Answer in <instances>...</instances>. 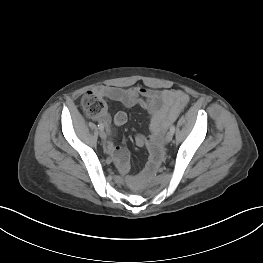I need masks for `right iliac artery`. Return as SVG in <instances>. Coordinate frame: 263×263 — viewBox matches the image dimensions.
I'll return each instance as SVG.
<instances>
[{
  "mask_svg": "<svg viewBox=\"0 0 263 263\" xmlns=\"http://www.w3.org/2000/svg\"><path fill=\"white\" fill-rule=\"evenodd\" d=\"M98 128H99L100 130H103V129H104V125H103L102 123H99V124H98Z\"/></svg>",
  "mask_w": 263,
  "mask_h": 263,
  "instance_id": "82829eb1",
  "label": "right iliac artery"
}]
</instances>
